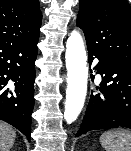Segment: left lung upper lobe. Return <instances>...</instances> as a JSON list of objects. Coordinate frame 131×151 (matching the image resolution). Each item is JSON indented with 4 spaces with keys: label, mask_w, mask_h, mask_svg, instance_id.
<instances>
[{
    "label": "left lung upper lobe",
    "mask_w": 131,
    "mask_h": 151,
    "mask_svg": "<svg viewBox=\"0 0 131 151\" xmlns=\"http://www.w3.org/2000/svg\"><path fill=\"white\" fill-rule=\"evenodd\" d=\"M77 26L87 48L131 67V6L126 0H80Z\"/></svg>",
    "instance_id": "left-lung-upper-lobe-1"
}]
</instances>
